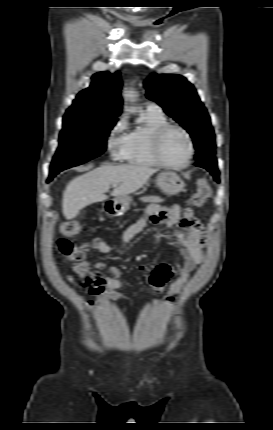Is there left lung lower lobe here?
<instances>
[{
    "label": "left lung lower lobe",
    "instance_id": "left-lung-lower-lobe-1",
    "mask_svg": "<svg viewBox=\"0 0 273 430\" xmlns=\"http://www.w3.org/2000/svg\"><path fill=\"white\" fill-rule=\"evenodd\" d=\"M195 165L207 169L214 176L215 180L219 181V171L215 157H204L200 160H196Z\"/></svg>",
    "mask_w": 273,
    "mask_h": 430
}]
</instances>
